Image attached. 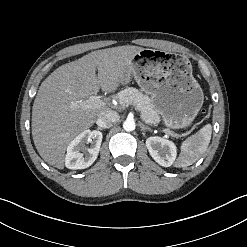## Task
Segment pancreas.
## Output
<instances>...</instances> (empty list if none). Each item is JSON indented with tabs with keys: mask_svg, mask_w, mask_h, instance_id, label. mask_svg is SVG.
Listing matches in <instances>:
<instances>
[{
	"mask_svg": "<svg viewBox=\"0 0 247 247\" xmlns=\"http://www.w3.org/2000/svg\"><path fill=\"white\" fill-rule=\"evenodd\" d=\"M117 99L122 106L135 105L143 117L152 124L159 122V115L154 109V105L149 96L144 95L136 88L128 87L120 91L117 94Z\"/></svg>",
	"mask_w": 247,
	"mask_h": 247,
	"instance_id": "obj_1",
	"label": "pancreas"
}]
</instances>
